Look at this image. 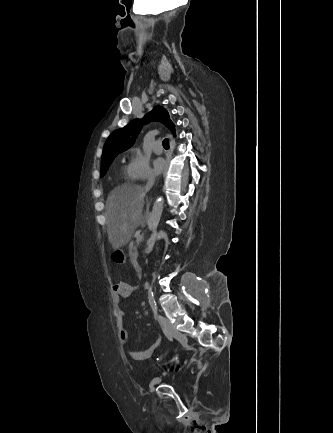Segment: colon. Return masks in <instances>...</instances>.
I'll return each mask as SVG.
<instances>
[{
	"label": "colon",
	"mask_w": 333,
	"mask_h": 433,
	"mask_svg": "<svg viewBox=\"0 0 333 433\" xmlns=\"http://www.w3.org/2000/svg\"><path fill=\"white\" fill-rule=\"evenodd\" d=\"M111 254L112 257L115 258V263L117 265H122L127 253L125 249H113Z\"/></svg>",
	"instance_id": "5ec220e1"
}]
</instances>
